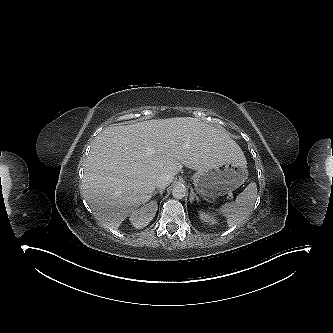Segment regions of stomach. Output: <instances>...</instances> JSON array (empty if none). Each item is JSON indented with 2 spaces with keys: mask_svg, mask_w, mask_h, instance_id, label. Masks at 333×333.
<instances>
[{
  "mask_svg": "<svg viewBox=\"0 0 333 333\" xmlns=\"http://www.w3.org/2000/svg\"><path fill=\"white\" fill-rule=\"evenodd\" d=\"M248 176L246 160L220 163L193 175L195 189L208 198H217L240 187Z\"/></svg>",
  "mask_w": 333,
  "mask_h": 333,
  "instance_id": "stomach-1",
  "label": "stomach"
}]
</instances>
